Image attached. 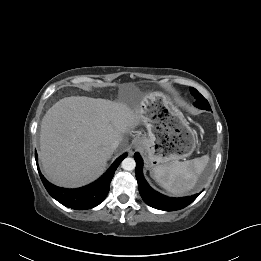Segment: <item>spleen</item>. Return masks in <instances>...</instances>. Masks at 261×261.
Segmentation results:
<instances>
[{
  "label": "spleen",
  "instance_id": "obj_1",
  "mask_svg": "<svg viewBox=\"0 0 261 261\" xmlns=\"http://www.w3.org/2000/svg\"><path fill=\"white\" fill-rule=\"evenodd\" d=\"M208 161L209 156L204 155L184 162L175 161L167 165H159L153 168L151 176L167 191L183 194L195 186Z\"/></svg>",
  "mask_w": 261,
  "mask_h": 261
}]
</instances>
